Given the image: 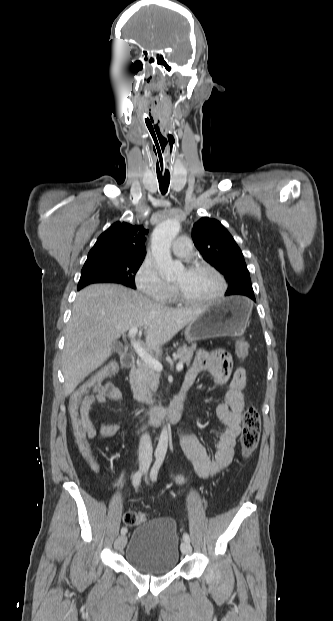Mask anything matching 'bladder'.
Masks as SVG:
<instances>
[{
	"label": "bladder",
	"mask_w": 333,
	"mask_h": 621,
	"mask_svg": "<svg viewBox=\"0 0 333 621\" xmlns=\"http://www.w3.org/2000/svg\"><path fill=\"white\" fill-rule=\"evenodd\" d=\"M179 556L177 524L167 517H156L139 524L125 551V559L131 567L149 574L172 571Z\"/></svg>",
	"instance_id": "1"
}]
</instances>
